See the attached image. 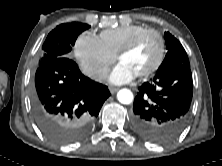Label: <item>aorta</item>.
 <instances>
[{
  "label": "aorta",
  "mask_w": 222,
  "mask_h": 166,
  "mask_svg": "<svg viewBox=\"0 0 222 166\" xmlns=\"http://www.w3.org/2000/svg\"><path fill=\"white\" fill-rule=\"evenodd\" d=\"M117 99L122 104H130L132 103L134 96L131 90L129 89H121L117 93Z\"/></svg>",
  "instance_id": "762f6f07"
}]
</instances>
